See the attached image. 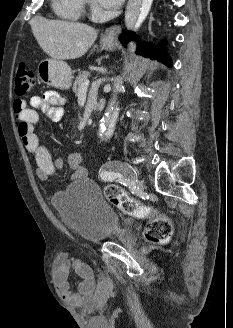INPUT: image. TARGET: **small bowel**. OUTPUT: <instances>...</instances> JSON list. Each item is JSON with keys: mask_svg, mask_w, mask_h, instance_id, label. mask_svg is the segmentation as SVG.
<instances>
[{"mask_svg": "<svg viewBox=\"0 0 233 328\" xmlns=\"http://www.w3.org/2000/svg\"><path fill=\"white\" fill-rule=\"evenodd\" d=\"M64 98L56 91H47L42 96H32L28 101L16 99L13 110L18 122V134L26 150L33 155L36 162V177L40 181H49L56 170L62 166L60 160H53L48 150L40 143L35 133V125L39 120L37 110L46 113L51 120L60 121L64 115ZM69 166L73 169L72 179H84L88 171L84 166V156L75 153L68 159ZM73 269L81 279L78 292H73L69 285V273ZM55 286L58 294L71 303H82L92 297L96 289L91 267L69 257L65 253L59 254L53 265Z\"/></svg>", "mask_w": 233, "mask_h": 328, "instance_id": "c3829d8e", "label": "small bowel"}]
</instances>
